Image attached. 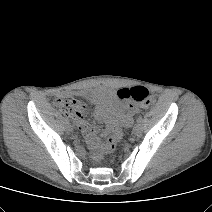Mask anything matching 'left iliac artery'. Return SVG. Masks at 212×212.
Returning <instances> with one entry per match:
<instances>
[{
	"label": "left iliac artery",
	"mask_w": 212,
	"mask_h": 212,
	"mask_svg": "<svg viewBox=\"0 0 212 212\" xmlns=\"http://www.w3.org/2000/svg\"><path fill=\"white\" fill-rule=\"evenodd\" d=\"M142 121H143L142 116H139V117L137 118V123L140 124Z\"/></svg>",
	"instance_id": "left-iliac-artery-1"
}]
</instances>
